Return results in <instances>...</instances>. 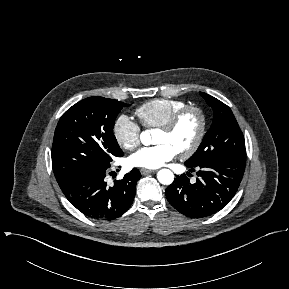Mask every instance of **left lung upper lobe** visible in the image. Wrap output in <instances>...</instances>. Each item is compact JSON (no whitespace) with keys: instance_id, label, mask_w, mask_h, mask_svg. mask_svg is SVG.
Segmentation results:
<instances>
[{"instance_id":"obj_1","label":"left lung upper lobe","mask_w":289,"mask_h":289,"mask_svg":"<svg viewBox=\"0 0 289 289\" xmlns=\"http://www.w3.org/2000/svg\"><path fill=\"white\" fill-rule=\"evenodd\" d=\"M200 95L213 109L214 118L199 148L185 164L196 167L218 158L245 160L244 136L231 109L209 94L200 92Z\"/></svg>"}]
</instances>
